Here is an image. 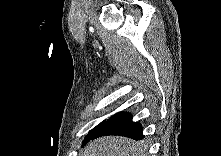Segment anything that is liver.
Wrapping results in <instances>:
<instances>
[{
  "label": "liver",
  "instance_id": "1",
  "mask_svg": "<svg viewBox=\"0 0 221 156\" xmlns=\"http://www.w3.org/2000/svg\"><path fill=\"white\" fill-rule=\"evenodd\" d=\"M146 148L142 142L126 137H101L84 149L82 156H145Z\"/></svg>",
  "mask_w": 221,
  "mask_h": 156
}]
</instances>
